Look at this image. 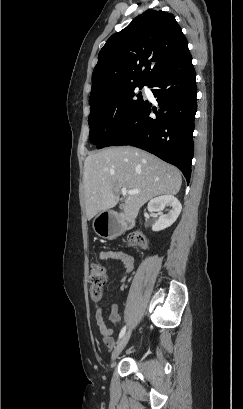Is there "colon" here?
I'll list each match as a JSON object with an SVG mask.
<instances>
[{
  "label": "colon",
  "mask_w": 243,
  "mask_h": 409,
  "mask_svg": "<svg viewBox=\"0 0 243 409\" xmlns=\"http://www.w3.org/2000/svg\"><path fill=\"white\" fill-rule=\"evenodd\" d=\"M128 242L130 244L139 243L143 247L148 246L147 240L144 237L138 235L130 236L128 238ZM104 283H105L104 268L98 263L92 264L88 276V284L90 295L93 300L95 301L101 300L103 295Z\"/></svg>",
  "instance_id": "obj_1"
}]
</instances>
